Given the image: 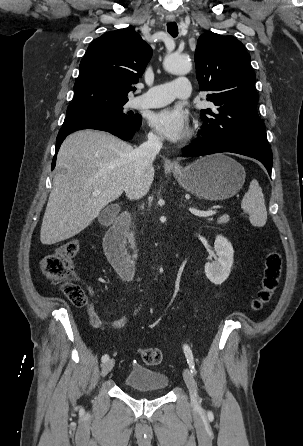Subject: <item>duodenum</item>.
Masks as SVG:
<instances>
[{"label": "duodenum", "instance_id": "410a0bca", "mask_svg": "<svg viewBox=\"0 0 303 446\" xmlns=\"http://www.w3.org/2000/svg\"><path fill=\"white\" fill-rule=\"evenodd\" d=\"M130 223V213L121 212L109 228L103 242L108 260L125 278H131L135 271V262L125 248V239Z\"/></svg>", "mask_w": 303, "mask_h": 446}]
</instances>
